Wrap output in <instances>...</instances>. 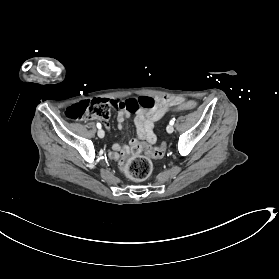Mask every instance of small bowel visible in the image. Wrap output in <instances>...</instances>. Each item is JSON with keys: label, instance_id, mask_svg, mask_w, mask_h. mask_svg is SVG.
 I'll use <instances>...</instances> for the list:
<instances>
[{"label": "small bowel", "instance_id": "small-bowel-1", "mask_svg": "<svg viewBox=\"0 0 279 279\" xmlns=\"http://www.w3.org/2000/svg\"><path fill=\"white\" fill-rule=\"evenodd\" d=\"M182 101L177 98H171L167 96H159L156 98V104L153 109L139 110L135 116V125L137 129V135L139 140L146 141L150 144H154L156 136L153 132L154 123L161 119L168 111L171 105L180 104ZM130 113L127 111H119L117 114L118 129H123V123L129 118ZM105 128L110 130V123L105 121ZM137 143V140H132L130 145ZM128 146L125 144L114 143L112 145V152L109 156L113 160H117L120 152H125Z\"/></svg>", "mask_w": 279, "mask_h": 279}]
</instances>
